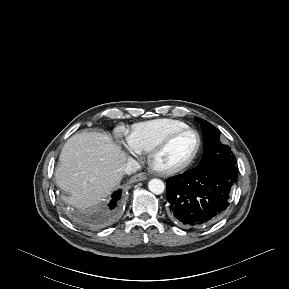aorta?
<instances>
[{"mask_svg":"<svg viewBox=\"0 0 289 289\" xmlns=\"http://www.w3.org/2000/svg\"><path fill=\"white\" fill-rule=\"evenodd\" d=\"M148 188L152 193L159 195V194H162L164 192L165 184L160 179H151L148 182Z\"/></svg>","mask_w":289,"mask_h":289,"instance_id":"aorta-1","label":"aorta"}]
</instances>
